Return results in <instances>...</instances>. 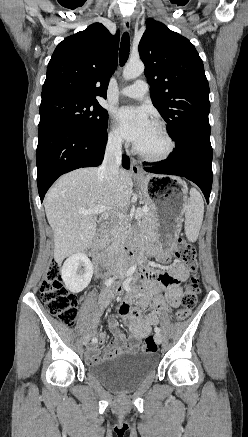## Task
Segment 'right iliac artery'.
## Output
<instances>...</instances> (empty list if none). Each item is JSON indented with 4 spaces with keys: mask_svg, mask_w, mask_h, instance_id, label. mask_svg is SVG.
Wrapping results in <instances>:
<instances>
[{
    "mask_svg": "<svg viewBox=\"0 0 248 437\" xmlns=\"http://www.w3.org/2000/svg\"><path fill=\"white\" fill-rule=\"evenodd\" d=\"M135 270H136V266H132V267L127 271L126 276H129V275L133 274ZM114 281H115V278H109V279H107V280L105 281V285H106L107 287H110V286L113 284ZM96 342H97V338H93V339H92V343H96Z\"/></svg>",
    "mask_w": 248,
    "mask_h": 437,
    "instance_id": "obj_1",
    "label": "right iliac artery"
}]
</instances>
